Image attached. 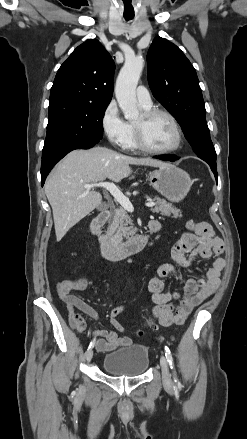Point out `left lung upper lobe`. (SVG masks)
I'll return each mask as SVG.
<instances>
[{"label": "left lung upper lobe", "instance_id": "1", "mask_svg": "<svg viewBox=\"0 0 247 439\" xmlns=\"http://www.w3.org/2000/svg\"><path fill=\"white\" fill-rule=\"evenodd\" d=\"M147 62L148 81L154 97L181 125L198 157L211 169L216 168V152L194 67L176 45L159 36L150 46Z\"/></svg>", "mask_w": 247, "mask_h": 439}]
</instances>
